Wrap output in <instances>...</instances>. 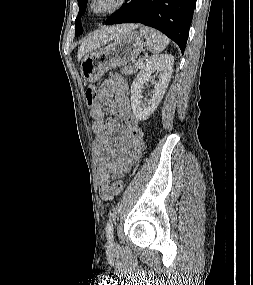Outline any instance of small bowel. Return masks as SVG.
<instances>
[{
	"label": "small bowel",
	"instance_id": "obj_1",
	"mask_svg": "<svg viewBox=\"0 0 253 285\" xmlns=\"http://www.w3.org/2000/svg\"><path fill=\"white\" fill-rule=\"evenodd\" d=\"M127 92L126 80L113 75L101 84L98 96L91 105L94 117L92 130L99 156L98 189L105 201L117 195L112 179L128 171L144 149L143 131L132 113ZM109 114L116 116L120 122L108 118Z\"/></svg>",
	"mask_w": 253,
	"mask_h": 285
}]
</instances>
